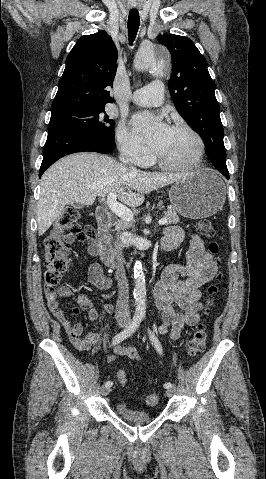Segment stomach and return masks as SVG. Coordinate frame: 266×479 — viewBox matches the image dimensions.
Segmentation results:
<instances>
[{
    "mask_svg": "<svg viewBox=\"0 0 266 479\" xmlns=\"http://www.w3.org/2000/svg\"><path fill=\"white\" fill-rule=\"evenodd\" d=\"M173 210L190 219L217 213L226 199L223 181L210 169H201L176 181L169 191Z\"/></svg>",
    "mask_w": 266,
    "mask_h": 479,
    "instance_id": "0dacf381",
    "label": "stomach"
}]
</instances>
